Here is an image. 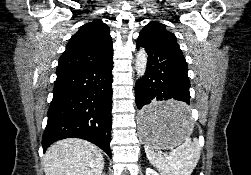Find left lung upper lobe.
Returning <instances> with one entry per match:
<instances>
[{"instance_id": "5c2ea615", "label": "left lung upper lobe", "mask_w": 251, "mask_h": 175, "mask_svg": "<svg viewBox=\"0 0 251 175\" xmlns=\"http://www.w3.org/2000/svg\"><path fill=\"white\" fill-rule=\"evenodd\" d=\"M142 34L149 35L160 42L167 43L177 48L181 52L175 35L166 30V26L164 24H161L157 21H151L141 30L139 35Z\"/></svg>"}]
</instances>
